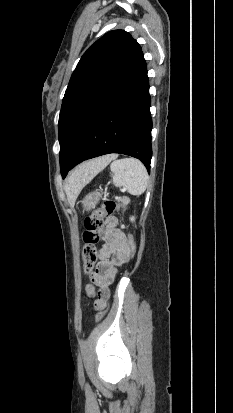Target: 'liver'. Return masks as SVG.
Wrapping results in <instances>:
<instances>
[{
  "instance_id": "liver-1",
  "label": "liver",
  "mask_w": 233,
  "mask_h": 413,
  "mask_svg": "<svg viewBox=\"0 0 233 413\" xmlns=\"http://www.w3.org/2000/svg\"><path fill=\"white\" fill-rule=\"evenodd\" d=\"M114 158V155H107L79 165L65 185L68 201L73 204L82 188Z\"/></svg>"
}]
</instances>
